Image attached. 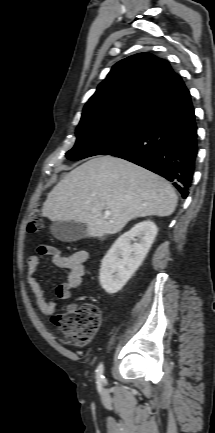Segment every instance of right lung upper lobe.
Instances as JSON below:
<instances>
[{"label":"right lung upper lobe","instance_id":"obj_1","mask_svg":"<svg viewBox=\"0 0 215 433\" xmlns=\"http://www.w3.org/2000/svg\"><path fill=\"white\" fill-rule=\"evenodd\" d=\"M186 87L169 63L139 53L116 63L86 103L81 121L146 115Z\"/></svg>","mask_w":215,"mask_h":433}]
</instances>
